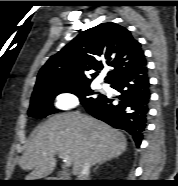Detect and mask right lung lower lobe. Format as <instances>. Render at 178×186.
Wrapping results in <instances>:
<instances>
[{
	"instance_id": "obj_1",
	"label": "right lung lower lobe",
	"mask_w": 178,
	"mask_h": 186,
	"mask_svg": "<svg viewBox=\"0 0 178 186\" xmlns=\"http://www.w3.org/2000/svg\"><path fill=\"white\" fill-rule=\"evenodd\" d=\"M109 84L120 93L116 96L118 103L113 104V99L101 95L85 109L112 127L127 131L139 147L149 112L150 84L146 61L121 72Z\"/></svg>"
}]
</instances>
